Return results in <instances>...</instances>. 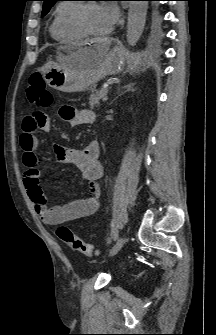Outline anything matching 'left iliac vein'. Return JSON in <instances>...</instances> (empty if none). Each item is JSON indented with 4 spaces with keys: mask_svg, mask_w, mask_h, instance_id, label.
Segmentation results:
<instances>
[{
    "mask_svg": "<svg viewBox=\"0 0 216 335\" xmlns=\"http://www.w3.org/2000/svg\"><path fill=\"white\" fill-rule=\"evenodd\" d=\"M125 243V237L122 236L120 237L117 242L115 243V245L112 247V249L110 250L109 252V256H114L116 255L120 250L121 248L123 247Z\"/></svg>",
    "mask_w": 216,
    "mask_h": 335,
    "instance_id": "obj_1",
    "label": "left iliac vein"
}]
</instances>
